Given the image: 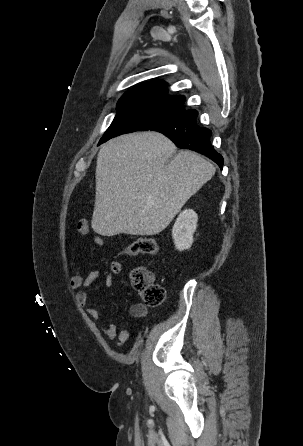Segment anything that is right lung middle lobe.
<instances>
[{
	"label": "right lung middle lobe",
	"instance_id": "dd1d6c3e",
	"mask_svg": "<svg viewBox=\"0 0 303 446\" xmlns=\"http://www.w3.org/2000/svg\"><path fill=\"white\" fill-rule=\"evenodd\" d=\"M184 98H175L167 104L164 109L151 110L141 107H121L118 106V112L99 141V145L107 140L121 134L141 130L146 125L157 120L162 116L175 113L184 108Z\"/></svg>",
	"mask_w": 303,
	"mask_h": 446
}]
</instances>
